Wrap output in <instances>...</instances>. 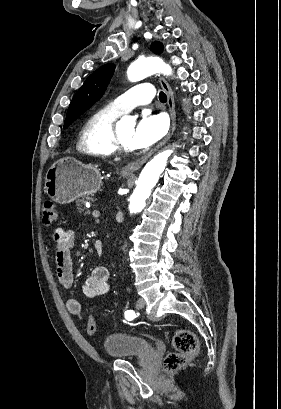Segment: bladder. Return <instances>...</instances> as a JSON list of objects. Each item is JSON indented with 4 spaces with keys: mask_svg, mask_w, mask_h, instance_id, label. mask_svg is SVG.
Wrapping results in <instances>:
<instances>
[{
    "mask_svg": "<svg viewBox=\"0 0 281 409\" xmlns=\"http://www.w3.org/2000/svg\"><path fill=\"white\" fill-rule=\"evenodd\" d=\"M101 346L106 356L116 360L133 359V355H156L152 341L123 331L105 335Z\"/></svg>",
    "mask_w": 281,
    "mask_h": 409,
    "instance_id": "bladder-1",
    "label": "bladder"
}]
</instances>
